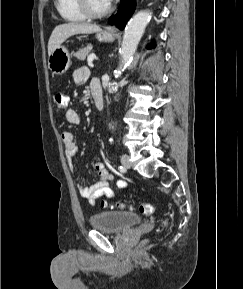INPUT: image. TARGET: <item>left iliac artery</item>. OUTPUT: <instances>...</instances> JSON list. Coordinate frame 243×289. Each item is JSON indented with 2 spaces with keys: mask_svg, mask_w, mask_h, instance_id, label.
I'll list each match as a JSON object with an SVG mask.
<instances>
[{
  "mask_svg": "<svg viewBox=\"0 0 243 289\" xmlns=\"http://www.w3.org/2000/svg\"><path fill=\"white\" fill-rule=\"evenodd\" d=\"M118 169H119L121 172L125 171V168H124L123 166H119Z\"/></svg>",
  "mask_w": 243,
  "mask_h": 289,
  "instance_id": "left-iliac-artery-1",
  "label": "left iliac artery"
}]
</instances>
